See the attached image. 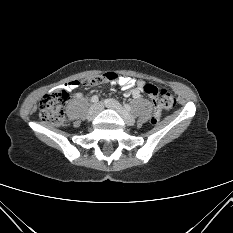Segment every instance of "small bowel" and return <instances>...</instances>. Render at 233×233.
Masks as SVG:
<instances>
[{
  "instance_id": "1",
  "label": "small bowel",
  "mask_w": 233,
  "mask_h": 233,
  "mask_svg": "<svg viewBox=\"0 0 233 233\" xmlns=\"http://www.w3.org/2000/svg\"><path fill=\"white\" fill-rule=\"evenodd\" d=\"M103 77L107 81L110 79L112 80L109 86V89L112 92H115L119 86L121 89L126 91V96L138 98L140 97L141 93H145L143 87L146 85V83L142 80H136L126 76H118V74L114 71L105 73ZM61 87L63 90H68L72 93L75 91V89H80L82 84L80 81L75 79L67 83H63ZM81 89L83 90L84 88L82 87ZM149 97L153 98L151 95H149Z\"/></svg>"
}]
</instances>
